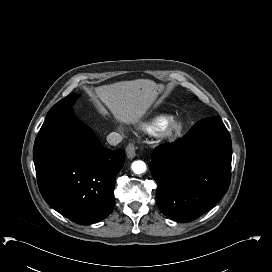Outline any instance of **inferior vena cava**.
<instances>
[{"instance_id": "1", "label": "inferior vena cava", "mask_w": 272, "mask_h": 272, "mask_svg": "<svg viewBox=\"0 0 272 272\" xmlns=\"http://www.w3.org/2000/svg\"><path fill=\"white\" fill-rule=\"evenodd\" d=\"M122 139V135L116 132H112L107 136V142L112 146H116L117 144H119Z\"/></svg>"}]
</instances>
